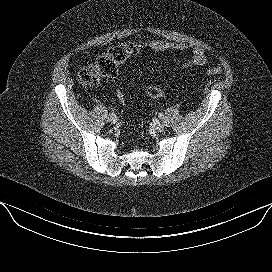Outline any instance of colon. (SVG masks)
<instances>
[{
  "label": "colon",
  "mask_w": 272,
  "mask_h": 272,
  "mask_svg": "<svg viewBox=\"0 0 272 272\" xmlns=\"http://www.w3.org/2000/svg\"><path fill=\"white\" fill-rule=\"evenodd\" d=\"M141 48L142 45L140 43L131 42L108 49L98 55L93 63L83 66L78 70V81L83 85L92 86L99 83L102 78L113 77L117 72L118 66L129 57L137 54ZM221 71L222 69L219 66L207 69V73L209 74H218ZM144 90L152 98L162 97L166 94L164 89L154 86H146ZM117 98L120 102L124 101L122 91H117Z\"/></svg>",
  "instance_id": "5ec220e1"
}]
</instances>
